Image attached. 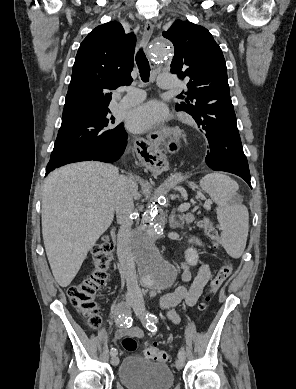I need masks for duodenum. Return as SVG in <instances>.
I'll return each instance as SVG.
<instances>
[{"instance_id":"obj_1","label":"duodenum","mask_w":296,"mask_h":389,"mask_svg":"<svg viewBox=\"0 0 296 389\" xmlns=\"http://www.w3.org/2000/svg\"><path fill=\"white\" fill-rule=\"evenodd\" d=\"M113 236H115V231H112ZM116 251L118 258L121 262L125 261L129 256V247L126 239L117 238L116 239Z\"/></svg>"}]
</instances>
